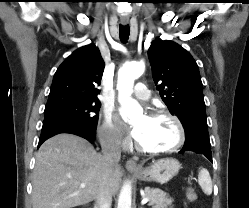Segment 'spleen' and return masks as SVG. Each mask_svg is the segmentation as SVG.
I'll list each match as a JSON object with an SVG mask.
<instances>
[{"mask_svg":"<svg viewBox=\"0 0 249 208\" xmlns=\"http://www.w3.org/2000/svg\"><path fill=\"white\" fill-rule=\"evenodd\" d=\"M198 183L205 194L210 195L212 193V181L207 169L200 168Z\"/></svg>","mask_w":249,"mask_h":208,"instance_id":"3e777b00","label":"spleen"}]
</instances>
